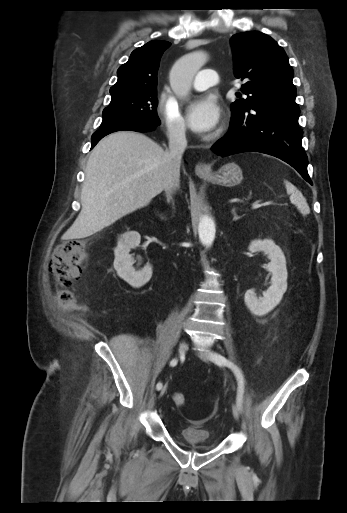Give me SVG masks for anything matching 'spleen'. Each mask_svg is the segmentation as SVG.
Masks as SVG:
<instances>
[{"label":"spleen","instance_id":"obj_1","mask_svg":"<svg viewBox=\"0 0 347 513\" xmlns=\"http://www.w3.org/2000/svg\"><path fill=\"white\" fill-rule=\"evenodd\" d=\"M285 188L287 191V194L290 195V201L292 204L297 206L298 210L303 214H309L310 208L307 204L306 198L303 196V194L298 190L296 186H294L291 182L288 180H284Z\"/></svg>","mask_w":347,"mask_h":513}]
</instances>
